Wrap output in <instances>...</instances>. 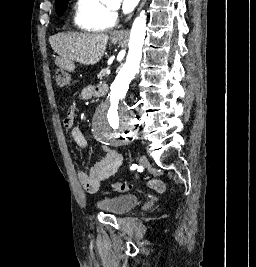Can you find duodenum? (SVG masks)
Returning <instances> with one entry per match:
<instances>
[{
	"mask_svg": "<svg viewBox=\"0 0 256 267\" xmlns=\"http://www.w3.org/2000/svg\"><path fill=\"white\" fill-rule=\"evenodd\" d=\"M72 71H75V66H63V68H61V73H72ZM96 87H99L100 89V95L99 98L100 99H105L107 94V89L108 86L106 85L105 82H96L95 83Z\"/></svg>",
	"mask_w": 256,
	"mask_h": 267,
	"instance_id": "410a0bca",
	"label": "duodenum"
}]
</instances>
